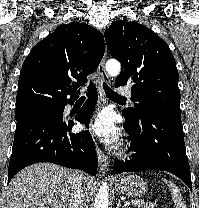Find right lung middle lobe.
Segmentation results:
<instances>
[{
	"mask_svg": "<svg viewBox=\"0 0 199 208\" xmlns=\"http://www.w3.org/2000/svg\"><path fill=\"white\" fill-rule=\"evenodd\" d=\"M61 107L50 106H29L16 110V120L20 121L26 118L45 117L51 119H63L60 115Z\"/></svg>",
	"mask_w": 199,
	"mask_h": 208,
	"instance_id": "1",
	"label": "right lung middle lobe"
}]
</instances>
